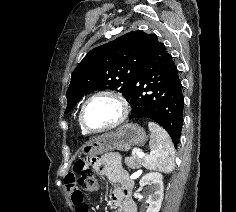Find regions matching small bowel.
<instances>
[{
    "label": "small bowel",
    "mask_w": 236,
    "mask_h": 212,
    "mask_svg": "<svg viewBox=\"0 0 236 212\" xmlns=\"http://www.w3.org/2000/svg\"><path fill=\"white\" fill-rule=\"evenodd\" d=\"M99 164L100 172L118 184V188L110 196V203L116 212H137L136 204L130 196L132 181L120 161L112 154H105L100 158ZM65 184L75 212H88L84 195L75 185L74 173L68 175Z\"/></svg>",
    "instance_id": "1"
}]
</instances>
